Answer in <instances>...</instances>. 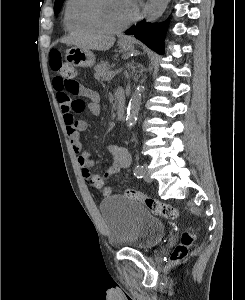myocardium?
<instances>
[{"label":"myocardium","instance_id":"myocardium-1","mask_svg":"<svg viewBox=\"0 0 245 300\" xmlns=\"http://www.w3.org/2000/svg\"><path fill=\"white\" fill-rule=\"evenodd\" d=\"M101 0H90V3L87 7V20L90 23V25L95 28L98 32L104 33V34H115L123 31L127 27H129L136 19L137 14L134 13L133 16L124 24L110 28L105 26L99 18L98 10Z\"/></svg>","mask_w":245,"mask_h":300}]
</instances>
